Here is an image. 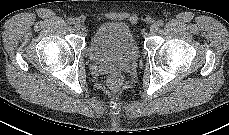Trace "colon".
<instances>
[{"label": "colon", "mask_w": 229, "mask_h": 135, "mask_svg": "<svg viewBox=\"0 0 229 135\" xmlns=\"http://www.w3.org/2000/svg\"><path fill=\"white\" fill-rule=\"evenodd\" d=\"M107 84L112 91H118L122 86V79L114 74L108 77Z\"/></svg>", "instance_id": "colon-1"}]
</instances>
